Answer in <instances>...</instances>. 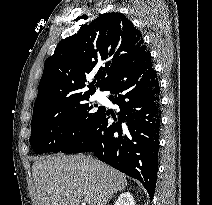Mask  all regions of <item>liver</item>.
<instances>
[{
	"instance_id": "6515ba94",
	"label": "liver",
	"mask_w": 212,
	"mask_h": 205,
	"mask_svg": "<svg viewBox=\"0 0 212 205\" xmlns=\"http://www.w3.org/2000/svg\"><path fill=\"white\" fill-rule=\"evenodd\" d=\"M38 205H106L115 192L127 186L126 176L85 155L48 156L32 166Z\"/></svg>"
}]
</instances>
